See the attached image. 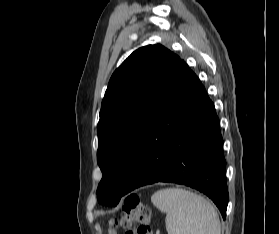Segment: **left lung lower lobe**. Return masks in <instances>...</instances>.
Wrapping results in <instances>:
<instances>
[{"instance_id": "0a47b994", "label": "left lung lower lobe", "mask_w": 279, "mask_h": 234, "mask_svg": "<svg viewBox=\"0 0 279 234\" xmlns=\"http://www.w3.org/2000/svg\"><path fill=\"white\" fill-rule=\"evenodd\" d=\"M223 139L214 104L181 60L153 115L122 196L155 182L195 188L226 217Z\"/></svg>"}]
</instances>
